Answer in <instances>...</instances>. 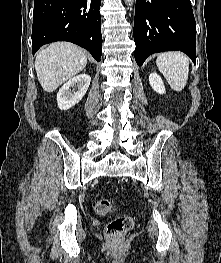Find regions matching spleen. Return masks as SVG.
<instances>
[{"mask_svg":"<svg viewBox=\"0 0 221 263\" xmlns=\"http://www.w3.org/2000/svg\"><path fill=\"white\" fill-rule=\"evenodd\" d=\"M156 64L173 90L180 92L184 89L189 75V58L184 53H161Z\"/></svg>","mask_w":221,"mask_h":263,"instance_id":"spleen-1","label":"spleen"}]
</instances>
